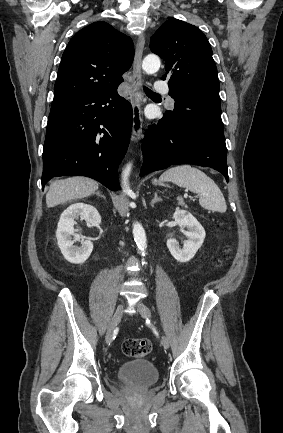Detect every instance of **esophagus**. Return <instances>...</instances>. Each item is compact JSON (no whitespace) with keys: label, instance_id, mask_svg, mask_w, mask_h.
<instances>
[{"label":"esophagus","instance_id":"1","mask_svg":"<svg viewBox=\"0 0 283 433\" xmlns=\"http://www.w3.org/2000/svg\"><path fill=\"white\" fill-rule=\"evenodd\" d=\"M145 37L144 35H140L135 50V57L133 62V71H132V81L131 88L132 92L136 93L141 87L142 84V72H141V64H142V55L144 50ZM141 107L138 103H133V125H132V140L138 141L142 137V117H141Z\"/></svg>","mask_w":283,"mask_h":433}]
</instances>
